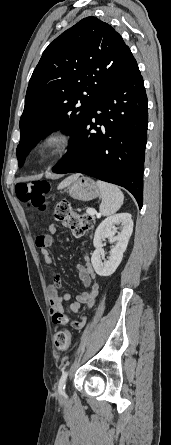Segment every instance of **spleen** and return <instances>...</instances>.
<instances>
[{"label": "spleen", "instance_id": "3e777b00", "mask_svg": "<svg viewBox=\"0 0 171 445\" xmlns=\"http://www.w3.org/2000/svg\"><path fill=\"white\" fill-rule=\"evenodd\" d=\"M97 186L101 192L102 202L100 212L103 216H110L116 213L122 206L124 195L121 190L113 185L102 181H97Z\"/></svg>", "mask_w": 171, "mask_h": 445}]
</instances>
